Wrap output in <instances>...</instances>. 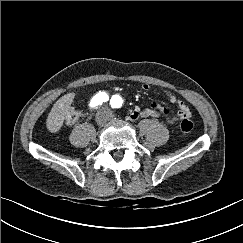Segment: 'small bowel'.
Masks as SVG:
<instances>
[{
  "instance_id": "obj_1",
  "label": "small bowel",
  "mask_w": 243,
  "mask_h": 243,
  "mask_svg": "<svg viewBox=\"0 0 243 243\" xmlns=\"http://www.w3.org/2000/svg\"><path fill=\"white\" fill-rule=\"evenodd\" d=\"M142 89L148 91L150 90V85L145 83L142 85ZM164 94L170 103L175 104L178 107L179 111L175 115H168L166 108L160 106L157 103H152L150 107L136 106L131 112L129 119L135 120L139 117H158L163 115L167 124L174 125L179 121L190 118L191 111L184 101L179 100L171 91L164 90Z\"/></svg>"
}]
</instances>
